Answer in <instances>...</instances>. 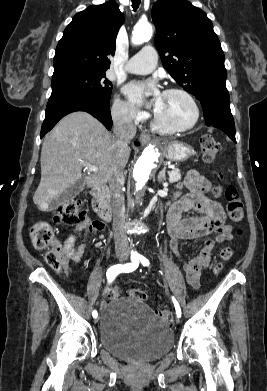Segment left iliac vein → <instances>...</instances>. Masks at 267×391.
<instances>
[{
	"instance_id": "obj_1",
	"label": "left iliac vein",
	"mask_w": 267,
	"mask_h": 391,
	"mask_svg": "<svg viewBox=\"0 0 267 391\" xmlns=\"http://www.w3.org/2000/svg\"><path fill=\"white\" fill-rule=\"evenodd\" d=\"M179 321H180V319H179V317L177 316V317H176V322L179 323Z\"/></svg>"
}]
</instances>
